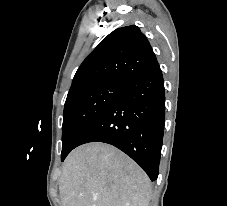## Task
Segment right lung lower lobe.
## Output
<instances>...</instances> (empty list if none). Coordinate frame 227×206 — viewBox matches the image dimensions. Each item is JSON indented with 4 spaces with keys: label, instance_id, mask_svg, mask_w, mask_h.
Here are the masks:
<instances>
[{
    "label": "right lung lower lobe",
    "instance_id": "right-lung-lower-lobe-1",
    "mask_svg": "<svg viewBox=\"0 0 227 206\" xmlns=\"http://www.w3.org/2000/svg\"><path fill=\"white\" fill-rule=\"evenodd\" d=\"M165 122V90L157 63L126 81L123 93L90 125L76 145L111 144L149 176L158 177Z\"/></svg>",
    "mask_w": 227,
    "mask_h": 206
}]
</instances>
